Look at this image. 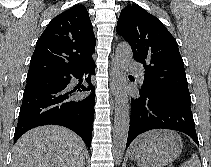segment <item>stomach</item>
<instances>
[{
	"mask_svg": "<svg viewBox=\"0 0 211 167\" xmlns=\"http://www.w3.org/2000/svg\"><path fill=\"white\" fill-rule=\"evenodd\" d=\"M182 139L174 131L152 130L139 136L129 149L132 160L146 167H164L181 154Z\"/></svg>",
	"mask_w": 211,
	"mask_h": 167,
	"instance_id": "obj_1",
	"label": "stomach"
}]
</instances>
